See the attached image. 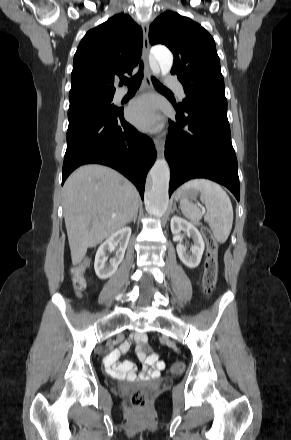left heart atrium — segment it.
Listing matches in <instances>:
<instances>
[{"mask_svg": "<svg viewBox=\"0 0 291 440\" xmlns=\"http://www.w3.org/2000/svg\"><path fill=\"white\" fill-rule=\"evenodd\" d=\"M128 119L141 129L153 127L158 118L155 103L148 97L134 101L127 110Z\"/></svg>", "mask_w": 291, "mask_h": 440, "instance_id": "39dd6f15", "label": "left heart atrium"}]
</instances>
